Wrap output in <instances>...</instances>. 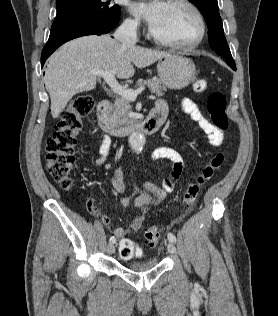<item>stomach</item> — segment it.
<instances>
[{"mask_svg":"<svg viewBox=\"0 0 278 316\" xmlns=\"http://www.w3.org/2000/svg\"><path fill=\"white\" fill-rule=\"evenodd\" d=\"M157 71L160 82L170 89L187 87L194 79L196 68L192 60L181 54H167L159 59Z\"/></svg>","mask_w":278,"mask_h":316,"instance_id":"obj_1","label":"stomach"}]
</instances>
